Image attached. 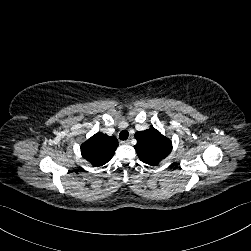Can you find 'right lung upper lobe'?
<instances>
[{"instance_id":"obj_1","label":"right lung upper lobe","mask_w":251,"mask_h":251,"mask_svg":"<svg viewBox=\"0 0 251 251\" xmlns=\"http://www.w3.org/2000/svg\"><path fill=\"white\" fill-rule=\"evenodd\" d=\"M117 147L116 137L98 132L81 145V154L93 167H99L111 160Z\"/></svg>"}]
</instances>
